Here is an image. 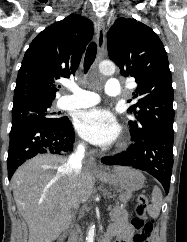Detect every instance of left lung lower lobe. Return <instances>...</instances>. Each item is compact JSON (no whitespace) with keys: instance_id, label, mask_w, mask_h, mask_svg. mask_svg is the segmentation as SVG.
I'll return each mask as SVG.
<instances>
[{"instance_id":"0a47b994","label":"left lung lower lobe","mask_w":187,"mask_h":242,"mask_svg":"<svg viewBox=\"0 0 187 242\" xmlns=\"http://www.w3.org/2000/svg\"><path fill=\"white\" fill-rule=\"evenodd\" d=\"M174 135H154L131 144L126 151L101 159L106 165L131 166L157 178L168 194L173 167Z\"/></svg>"}]
</instances>
